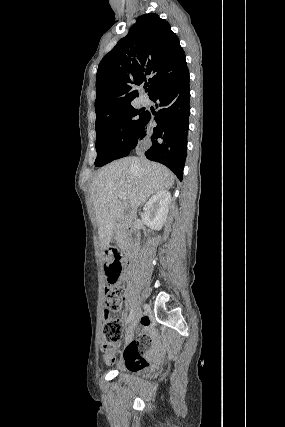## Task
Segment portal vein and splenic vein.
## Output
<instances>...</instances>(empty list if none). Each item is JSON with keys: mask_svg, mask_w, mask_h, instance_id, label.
<instances>
[{"mask_svg": "<svg viewBox=\"0 0 285 427\" xmlns=\"http://www.w3.org/2000/svg\"><path fill=\"white\" fill-rule=\"evenodd\" d=\"M119 198L122 200V201H126V196H125V194H123V193H119Z\"/></svg>", "mask_w": 285, "mask_h": 427, "instance_id": "portal-vein-and-splenic-vein-1", "label": "portal vein and splenic vein"}]
</instances>
